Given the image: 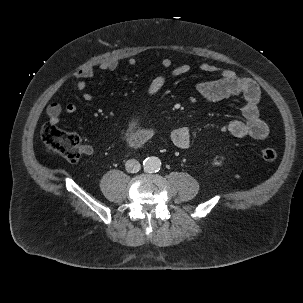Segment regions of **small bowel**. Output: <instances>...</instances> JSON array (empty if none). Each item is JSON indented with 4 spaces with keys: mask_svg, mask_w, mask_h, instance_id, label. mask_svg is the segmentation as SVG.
<instances>
[{
    "mask_svg": "<svg viewBox=\"0 0 303 303\" xmlns=\"http://www.w3.org/2000/svg\"><path fill=\"white\" fill-rule=\"evenodd\" d=\"M130 66L136 64V59L131 57L127 60ZM161 65L165 69V73L155 76L149 83L147 95L155 97L165 86V84L173 78L186 75L190 72L189 64L173 65L169 57L161 60ZM119 66L118 60H107L100 64L102 71H115ZM204 72H217L219 78L212 81L200 82L195 86L196 92L205 100L216 102L230 97H241L244 101L242 108L243 120H231L221 126V130L234 137L243 138L251 137L253 139L262 140L269 134L267 123L260 118V90L257 84L247 78L237 75L229 69H221L209 63H203L200 66ZM95 70L92 66H87L77 70L73 74L71 84L67 87H75L78 91H84L87 88V80L92 78ZM93 96L88 92L82 93L84 101H91ZM65 111L72 114L77 111L74 103H67L64 107L59 102H52L48 105L46 113L49 122L56 125L60 122V116ZM154 130L149 127L138 129H130L127 133L129 138L133 134H140L145 140L150 139L154 135ZM193 134L188 127H178L171 132V140L175 146L181 149H188L192 144ZM83 151L90 154L92 149L90 146H83Z\"/></svg>",
    "mask_w": 303,
    "mask_h": 303,
    "instance_id": "c3829d8e",
    "label": "small bowel"
}]
</instances>
